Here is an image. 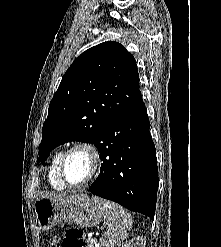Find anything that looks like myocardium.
I'll use <instances>...</instances> for the list:
<instances>
[{
	"instance_id": "myocardium-1",
	"label": "myocardium",
	"mask_w": 221,
	"mask_h": 247,
	"mask_svg": "<svg viewBox=\"0 0 221 247\" xmlns=\"http://www.w3.org/2000/svg\"><path fill=\"white\" fill-rule=\"evenodd\" d=\"M79 150L84 151L89 154L90 159H91V171L85 180H83L80 183L73 184L69 182L68 179L66 178L65 167H66V163H67L69 156L72 153L79 151ZM102 162H103L102 154L99 148L95 144L89 141H78L74 143L73 145H71L65 151L63 155V158L60 164V170H59L60 178L63 181V183L66 186H69L70 188H79V187L85 186L98 176L102 168Z\"/></svg>"
}]
</instances>
